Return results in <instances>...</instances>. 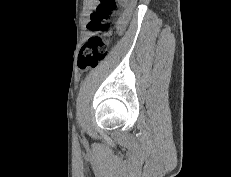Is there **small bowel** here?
Wrapping results in <instances>:
<instances>
[{
    "label": "small bowel",
    "instance_id": "small-bowel-1",
    "mask_svg": "<svg viewBox=\"0 0 231 177\" xmlns=\"http://www.w3.org/2000/svg\"><path fill=\"white\" fill-rule=\"evenodd\" d=\"M126 20L123 19L121 20L119 23H118V26H117V31L118 33H122L124 30H125V27H126Z\"/></svg>",
    "mask_w": 231,
    "mask_h": 177
}]
</instances>
